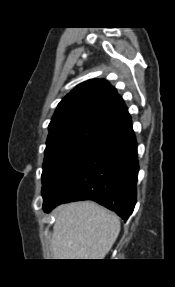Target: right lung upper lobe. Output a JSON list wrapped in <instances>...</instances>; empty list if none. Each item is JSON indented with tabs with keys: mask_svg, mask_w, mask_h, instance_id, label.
Instances as JSON below:
<instances>
[{
	"mask_svg": "<svg viewBox=\"0 0 175 287\" xmlns=\"http://www.w3.org/2000/svg\"><path fill=\"white\" fill-rule=\"evenodd\" d=\"M130 118L116 89L106 80L93 79L79 84L62 99L49 124V132L88 123L116 127Z\"/></svg>",
	"mask_w": 175,
	"mask_h": 287,
	"instance_id": "obj_1",
	"label": "right lung upper lobe"
}]
</instances>
